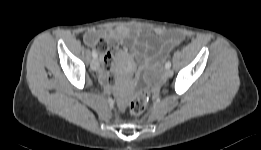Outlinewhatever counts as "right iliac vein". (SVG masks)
I'll return each mask as SVG.
<instances>
[{"label": "right iliac vein", "mask_w": 261, "mask_h": 150, "mask_svg": "<svg viewBox=\"0 0 261 150\" xmlns=\"http://www.w3.org/2000/svg\"><path fill=\"white\" fill-rule=\"evenodd\" d=\"M91 68L94 71H97L99 69V62L96 58L92 59L91 61Z\"/></svg>", "instance_id": "63e3f726"}]
</instances>
